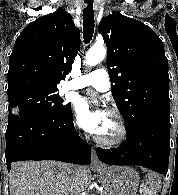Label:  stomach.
Wrapping results in <instances>:
<instances>
[{
    "instance_id": "1",
    "label": "stomach",
    "mask_w": 178,
    "mask_h": 195,
    "mask_svg": "<svg viewBox=\"0 0 178 195\" xmlns=\"http://www.w3.org/2000/svg\"><path fill=\"white\" fill-rule=\"evenodd\" d=\"M105 195H137L140 178L128 166H104L97 170Z\"/></svg>"
}]
</instances>
